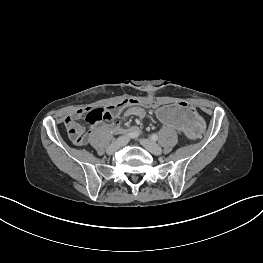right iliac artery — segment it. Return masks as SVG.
<instances>
[{
	"label": "right iliac artery",
	"mask_w": 263,
	"mask_h": 263,
	"mask_svg": "<svg viewBox=\"0 0 263 263\" xmlns=\"http://www.w3.org/2000/svg\"><path fill=\"white\" fill-rule=\"evenodd\" d=\"M125 135L130 137V138H136L139 136V131L136 129H133L130 132L125 133Z\"/></svg>",
	"instance_id": "obj_1"
}]
</instances>
